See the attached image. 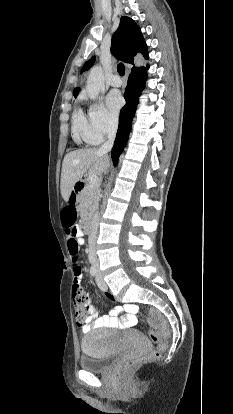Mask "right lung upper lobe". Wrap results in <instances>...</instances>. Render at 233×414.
Instances as JSON below:
<instances>
[{
  "instance_id": "cb5924a9",
  "label": "right lung upper lobe",
  "mask_w": 233,
  "mask_h": 414,
  "mask_svg": "<svg viewBox=\"0 0 233 414\" xmlns=\"http://www.w3.org/2000/svg\"><path fill=\"white\" fill-rule=\"evenodd\" d=\"M111 52L116 58L134 65L132 72L145 68L138 62L142 55L145 59H148L146 42L142 37L140 28L131 18L126 16L121 18L120 25L112 37ZM94 59L93 57L86 62L82 71L88 70L93 65ZM78 92L79 88L77 87L74 89V97L77 96Z\"/></svg>"
}]
</instances>
